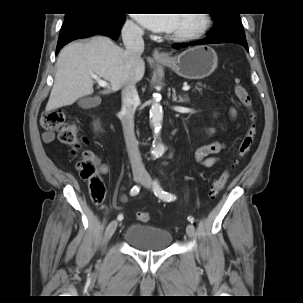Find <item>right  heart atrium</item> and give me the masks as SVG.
Listing matches in <instances>:
<instances>
[{"label": "right heart atrium", "mask_w": 303, "mask_h": 303, "mask_svg": "<svg viewBox=\"0 0 303 303\" xmlns=\"http://www.w3.org/2000/svg\"><path fill=\"white\" fill-rule=\"evenodd\" d=\"M124 30L130 35H141L142 29L133 21L129 20L124 25Z\"/></svg>", "instance_id": "right-heart-atrium-1"}]
</instances>
